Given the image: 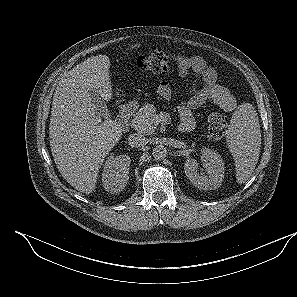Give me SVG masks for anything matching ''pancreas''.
<instances>
[{
  "label": "pancreas",
  "mask_w": 297,
  "mask_h": 297,
  "mask_svg": "<svg viewBox=\"0 0 297 297\" xmlns=\"http://www.w3.org/2000/svg\"><path fill=\"white\" fill-rule=\"evenodd\" d=\"M159 114L152 104L143 105L132 119L133 128L143 134L152 135L158 125Z\"/></svg>",
  "instance_id": "1"
}]
</instances>
